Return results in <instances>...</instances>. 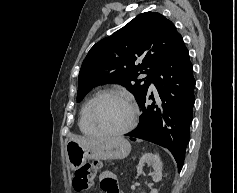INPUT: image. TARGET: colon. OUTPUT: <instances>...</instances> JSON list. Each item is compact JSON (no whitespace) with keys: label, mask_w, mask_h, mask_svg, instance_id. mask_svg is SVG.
Returning a JSON list of instances; mask_svg holds the SVG:
<instances>
[{"label":"colon","mask_w":237,"mask_h":193,"mask_svg":"<svg viewBox=\"0 0 237 193\" xmlns=\"http://www.w3.org/2000/svg\"><path fill=\"white\" fill-rule=\"evenodd\" d=\"M99 164L86 163L75 171L73 179L74 190L81 193L87 190L93 183Z\"/></svg>","instance_id":"colon-1"}]
</instances>
